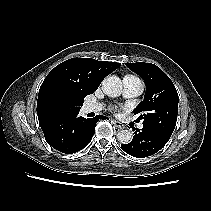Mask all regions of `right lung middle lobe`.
<instances>
[{
	"instance_id": "obj_1",
	"label": "right lung middle lobe",
	"mask_w": 211,
	"mask_h": 211,
	"mask_svg": "<svg viewBox=\"0 0 211 211\" xmlns=\"http://www.w3.org/2000/svg\"><path fill=\"white\" fill-rule=\"evenodd\" d=\"M50 106L57 110L79 111L83 105V97L77 96L64 89H55L48 96Z\"/></svg>"
}]
</instances>
